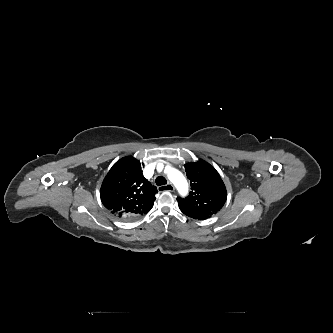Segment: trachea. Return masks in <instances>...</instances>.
Returning <instances> with one entry per match:
<instances>
[{"instance_id": "trachea-1", "label": "trachea", "mask_w": 333, "mask_h": 333, "mask_svg": "<svg viewBox=\"0 0 333 333\" xmlns=\"http://www.w3.org/2000/svg\"><path fill=\"white\" fill-rule=\"evenodd\" d=\"M156 184L158 186L165 185L167 183V180L163 176H158L155 180Z\"/></svg>"}]
</instances>
